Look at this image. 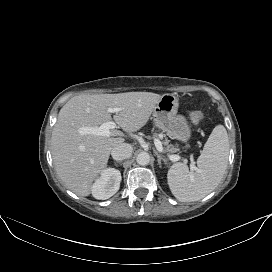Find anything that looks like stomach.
Instances as JSON below:
<instances>
[{
  "label": "stomach",
  "mask_w": 272,
  "mask_h": 272,
  "mask_svg": "<svg viewBox=\"0 0 272 272\" xmlns=\"http://www.w3.org/2000/svg\"><path fill=\"white\" fill-rule=\"evenodd\" d=\"M178 107L174 94H164L153 110V120L168 136L186 143L191 137V128L187 119L178 114Z\"/></svg>",
  "instance_id": "obj_1"
}]
</instances>
